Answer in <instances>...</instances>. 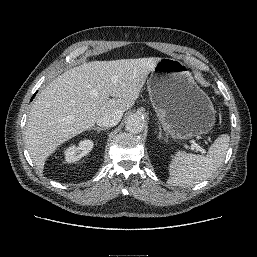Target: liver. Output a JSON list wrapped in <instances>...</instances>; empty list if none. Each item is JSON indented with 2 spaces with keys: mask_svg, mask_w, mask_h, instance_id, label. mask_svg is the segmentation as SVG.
Segmentation results:
<instances>
[{
  "mask_svg": "<svg viewBox=\"0 0 257 257\" xmlns=\"http://www.w3.org/2000/svg\"><path fill=\"white\" fill-rule=\"evenodd\" d=\"M159 60L92 61L67 70L47 85L31 106L25 132L37 169L42 172L59 145L91 129L103 112L130 109Z\"/></svg>",
  "mask_w": 257,
  "mask_h": 257,
  "instance_id": "1",
  "label": "liver"
}]
</instances>
